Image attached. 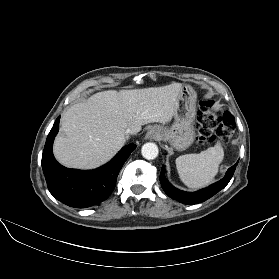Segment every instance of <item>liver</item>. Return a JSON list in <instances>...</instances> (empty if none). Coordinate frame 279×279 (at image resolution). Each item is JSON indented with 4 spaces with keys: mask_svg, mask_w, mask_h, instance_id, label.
<instances>
[{
    "mask_svg": "<svg viewBox=\"0 0 279 279\" xmlns=\"http://www.w3.org/2000/svg\"><path fill=\"white\" fill-rule=\"evenodd\" d=\"M181 83L162 87L98 92L69 108L61 118L63 135L54 141V155L68 168L93 169L124 145L126 131L149 123H168L174 116Z\"/></svg>",
    "mask_w": 279,
    "mask_h": 279,
    "instance_id": "obj_1",
    "label": "liver"
}]
</instances>
